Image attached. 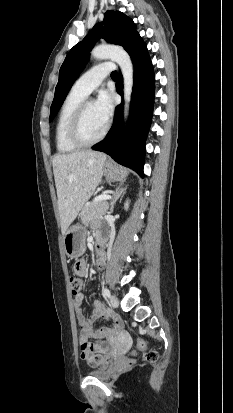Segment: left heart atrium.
<instances>
[{"label": "left heart atrium", "mask_w": 233, "mask_h": 413, "mask_svg": "<svg viewBox=\"0 0 233 413\" xmlns=\"http://www.w3.org/2000/svg\"><path fill=\"white\" fill-rule=\"evenodd\" d=\"M94 104L100 117L107 123L114 109L111 95L107 91H102Z\"/></svg>", "instance_id": "left-heart-atrium-1"}]
</instances>
